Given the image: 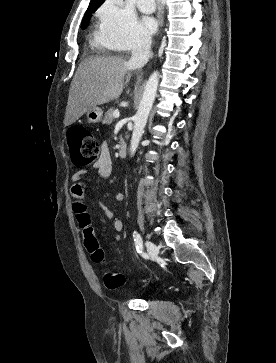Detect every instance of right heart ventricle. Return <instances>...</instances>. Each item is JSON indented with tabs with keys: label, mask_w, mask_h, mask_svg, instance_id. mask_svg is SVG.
Returning <instances> with one entry per match:
<instances>
[{
	"label": "right heart ventricle",
	"mask_w": 276,
	"mask_h": 363,
	"mask_svg": "<svg viewBox=\"0 0 276 363\" xmlns=\"http://www.w3.org/2000/svg\"><path fill=\"white\" fill-rule=\"evenodd\" d=\"M92 44L99 50H113L116 49V47L106 41L100 32H95L92 39Z\"/></svg>",
	"instance_id": "1"
}]
</instances>
